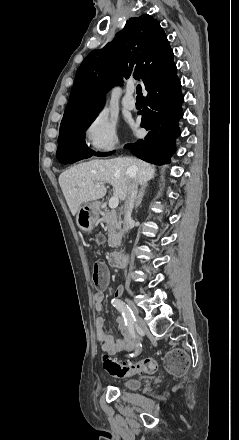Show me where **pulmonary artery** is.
I'll list each match as a JSON object with an SVG mask.
<instances>
[{
	"mask_svg": "<svg viewBox=\"0 0 239 440\" xmlns=\"http://www.w3.org/2000/svg\"><path fill=\"white\" fill-rule=\"evenodd\" d=\"M135 92L134 85L130 84L127 87L125 95L121 99V105L128 110H133L135 108V103L133 101H129V97H132Z\"/></svg>",
	"mask_w": 239,
	"mask_h": 440,
	"instance_id": "1",
	"label": "pulmonary artery"
}]
</instances>
